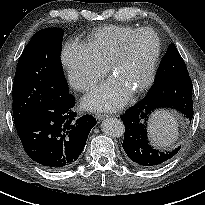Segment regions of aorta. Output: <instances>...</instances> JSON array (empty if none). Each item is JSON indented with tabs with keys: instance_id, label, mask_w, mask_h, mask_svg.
<instances>
[{
	"instance_id": "762f6f07",
	"label": "aorta",
	"mask_w": 205,
	"mask_h": 205,
	"mask_svg": "<svg viewBox=\"0 0 205 205\" xmlns=\"http://www.w3.org/2000/svg\"><path fill=\"white\" fill-rule=\"evenodd\" d=\"M101 127L104 134L110 137H120L125 131L123 122L116 118L104 120Z\"/></svg>"
}]
</instances>
